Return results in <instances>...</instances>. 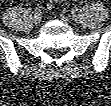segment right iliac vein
Returning <instances> with one entry per match:
<instances>
[{
    "instance_id": "obj_1",
    "label": "right iliac vein",
    "mask_w": 111,
    "mask_h": 106,
    "mask_svg": "<svg viewBox=\"0 0 111 106\" xmlns=\"http://www.w3.org/2000/svg\"><path fill=\"white\" fill-rule=\"evenodd\" d=\"M41 19H42V17L39 13H36L32 18V20L35 24H39L41 22Z\"/></svg>"
}]
</instances>
